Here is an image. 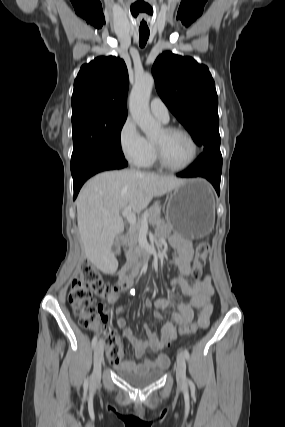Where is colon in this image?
<instances>
[{
	"instance_id": "colon-1",
	"label": "colon",
	"mask_w": 285,
	"mask_h": 427,
	"mask_svg": "<svg viewBox=\"0 0 285 427\" xmlns=\"http://www.w3.org/2000/svg\"><path fill=\"white\" fill-rule=\"evenodd\" d=\"M209 252L210 247L206 242H201L196 246V257L192 266L194 279L200 278ZM116 289L117 286L106 283L97 269L85 261L80 265L69 292V303L78 318L80 326L88 330L99 331L103 334L107 347L106 354L109 360L119 359L121 342L119 337L111 329L101 325L99 322L94 300L96 298H104ZM198 325V323L185 325L180 329V332L183 334L193 333L197 330Z\"/></svg>"
}]
</instances>
